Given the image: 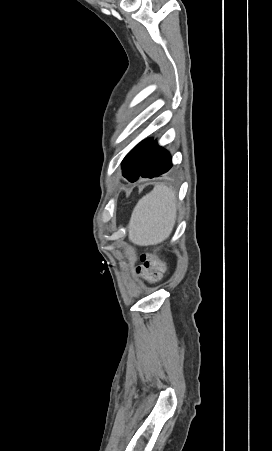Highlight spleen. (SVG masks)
<instances>
[{"mask_svg": "<svg viewBox=\"0 0 272 451\" xmlns=\"http://www.w3.org/2000/svg\"><path fill=\"white\" fill-rule=\"evenodd\" d=\"M176 196L159 184L136 204L128 226L129 239L136 245H156L169 237L176 222Z\"/></svg>", "mask_w": 272, "mask_h": 451, "instance_id": "obj_1", "label": "spleen"}]
</instances>
